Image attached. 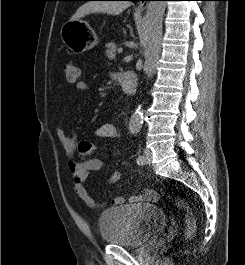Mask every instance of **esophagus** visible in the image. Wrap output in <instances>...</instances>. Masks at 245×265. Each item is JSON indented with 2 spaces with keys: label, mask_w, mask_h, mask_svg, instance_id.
I'll use <instances>...</instances> for the list:
<instances>
[{
  "label": "esophagus",
  "mask_w": 245,
  "mask_h": 265,
  "mask_svg": "<svg viewBox=\"0 0 245 265\" xmlns=\"http://www.w3.org/2000/svg\"><path fill=\"white\" fill-rule=\"evenodd\" d=\"M146 7H147V3H146L145 0H143V1H141V2L139 3L137 9H138V10H144V9H146Z\"/></svg>",
  "instance_id": "obj_1"
}]
</instances>
